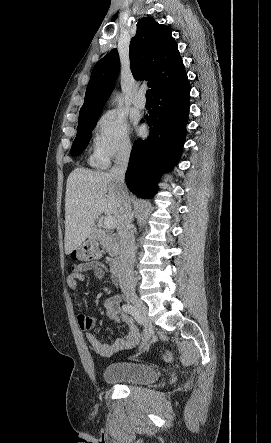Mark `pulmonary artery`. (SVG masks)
I'll return each mask as SVG.
<instances>
[{"mask_svg": "<svg viewBox=\"0 0 271 443\" xmlns=\"http://www.w3.org/2000/svg\"><path fill=\"white\" fill-rule=\"evenodd\" d=\"M133 104L138 109H144L146 107V95L144 90H139L135 95Z\"/></svg>", "mask_w": 271, "mask_h": 443, "instance_id": "obj_1", "label": "pulmonary artery"}]
</instances>
